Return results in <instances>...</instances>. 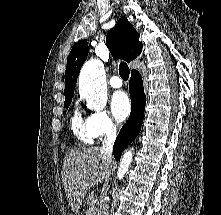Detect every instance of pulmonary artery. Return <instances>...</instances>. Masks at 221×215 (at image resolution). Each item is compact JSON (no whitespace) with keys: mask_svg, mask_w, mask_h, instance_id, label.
<instances>
[{"mask_svg":"<svg viewBox=\"0 0 221 215\" xmlns=\"http://www.w3.org/2000/svg\"><path fill=\"white\" fill-rule=\"evenodd\" d=\"M109 83L113 88H120L123 85L121 77L117 75L112 76L109 80Z\"/></svg>","mask_w":221,"mask_h":215,"instance_id":"obj_1","label":"pulmonary artery"}]
</instances>
